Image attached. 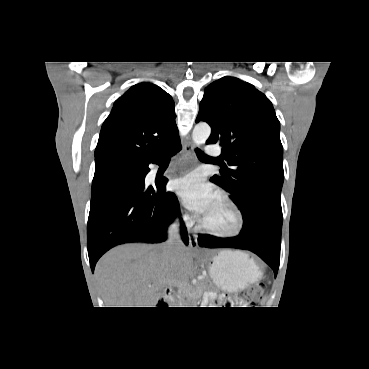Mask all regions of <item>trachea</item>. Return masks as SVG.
<instances>
[{
  "mask_svg": "<svg viewBox=\"0 0 369 369\" xmlns=\"http://www.w3.org/2000/svg\"><path fill=\"white\" fill-rule=\"evenodd\" d=\"M196 154L198 156V158H210L209 156H207L203 151H201L200 149H196Z\"/></svg>",
  "mask_w": 369,
  "mask_h": 369,
  "instance_id": "obj_1",
  "label": "trachea"
}]
</instances>
